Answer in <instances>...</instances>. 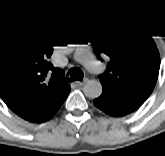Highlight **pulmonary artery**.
I'll return each mask as SVG.
<instances>
[{
	"label": "pulmonary artery",
	"instance_id": "pulmonary-artery-1",
	"mask_svg": "<svg viewBox=\"0 0 165 156\" xmlns=\"http://www.w3.org/2000/svg\"><path fill=\"white\" fill-rule=\"evenodd\" d=\"M76 59L93 73H99L102 71L101 66L98 65L95 61H93L86 51H78L76 54Z\"/></svg>",
	"mask_w": 165,
	"mask_h": 156
}]
</instances>
